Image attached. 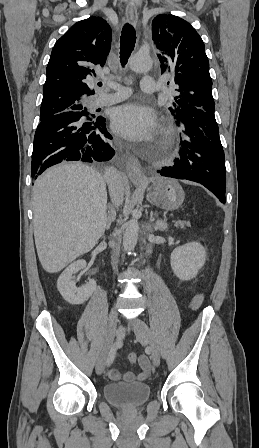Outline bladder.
<instances>
[{
  "instance_id": "1",
  "label": "bladder",
  "mask_w": 259,
  "mask_h": 448,
  "mask_svg": "<svg viewBox=\"0 0 259 448\" xmlns=\"http://www.w3.org/2000/svg\"><path fill=\"white\" fill-rule=\"evenodd\" d=\"M106 401L121 409H135L144 405L151 393L147 383H109L103 388Z\"/></svg>"
}]
</instances>
